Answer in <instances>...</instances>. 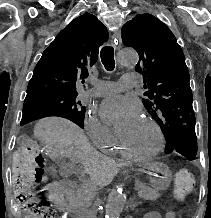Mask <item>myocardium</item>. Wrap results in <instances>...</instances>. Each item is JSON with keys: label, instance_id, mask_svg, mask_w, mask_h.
Masks as SVG:
<instances>
[{"label": "myocardium", "instance_id": "obj_1", "mask_svg": "<svg viewBox=\"0 0 211 218\" xmlns=\"http://www.w3.org/2000/svg\"><path fill=\"white\" fill-rule=\"evenodd\" d=\"M144 120L148 121L151 124V126L154 128L157 134L158 146L156 147V149H154L152 152L147 153V154H139V153H136L128 149L122 139H120L118 143L121 153L124 156L130 159L136 160V161H149V160L156 158L161 153V151L163 150V146H164V135H163L162 129L159 126V124L152 117H149V116L144 117Z\"/></svg>", "mask_w": 211, "mask_h": 218}]
</instances>
